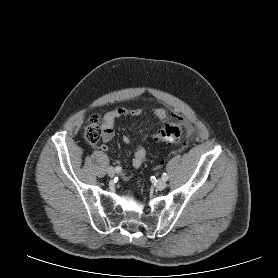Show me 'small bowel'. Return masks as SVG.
Wrapping results in <instances>:
<instances>
[{
  "label": "small bowel",
  "instance_id": "small-bowel-1",
  "mask_svg": "<svg viewBox=\"0 0 278 278\" xmlns=\"http://www.w3.org/2000/svg\"><path fill=\"white\" fill-rule=\"evenodd\" d=\"M142 113L140 108H116L106 112L102 119V140L103 144L100 148L103 151H108L107 143L111 142L114 138V123L115 121L123 116H139ZM154 116L159 120H164L167 117V112L162 108H156L153 110ZM122 140L125 144H129L131 139L128 135H124ZM146 158V151L142 146H137L133 158H132V165L135 168H139ZM124 178H128V174H124Z\"/></svg>",
  "mask_w": 278,
  "mask_h": 278
}]
</instances>
